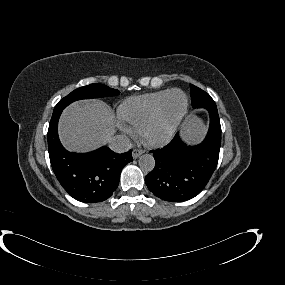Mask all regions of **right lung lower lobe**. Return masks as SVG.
<instances>
[{"label": "right lung lower lobe", "instance_id": "obj_1", "mask_svg": "<svg viewBox=\"0 0 285 285\" xmlns=\"http://www.w3.org/2000/svg\"><path fill=\"white\" fill-rule=\"evenodd\" d=\"M61 112H53L48 129V150L53 171L74 199L85 203L102 202L118 187L121 170L133 160L131 150L116 154L104 146L90 153L68 152L58 137Z\"/></svg>", "mask_w": 285, "mask_h": 285}]
</instances>
